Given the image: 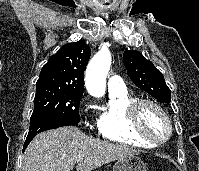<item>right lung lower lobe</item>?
<instances>
[{
    "instance_id": "right-lung-lower-lobe-1",
    "label": "right lung lower lobe",
    "mask_w": 199,
    "mask_h": 171,
    "mask_svg": "<svg viewBox=\"0 0 199 171\" xmlns=\"http://www.w3.org/2000/svg\"><path fill=\"white\" fill-rule=\"evenodd\" d=\"M68 125L77 126L71 120L58 115H43L31 119L29 132L23 146V151L38 133Z\"/></svg>"
}]
</instances>
